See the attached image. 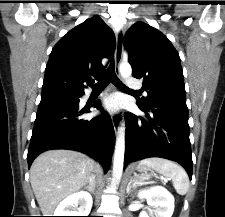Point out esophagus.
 <instances>
[{"label": "esophagus", "mask_w": 225, "mask_h": 217, "mask_svg": "<svg viewBox=\"0 0 225 217\" xmlns=\"http://www.w3.org/2000/svg\"><path fill=\"white\" fill-rule=\"evenodd\" d=\"M123 39H124V30H118L116 34V49H115V71L119 74V66L122 60L123 54ZM112 124L114 127L115 132L119 131L121 125V115L120 114H113L112 115Z\"/></svg>", "instance_id": "esophagus-1"}]
</instances>
